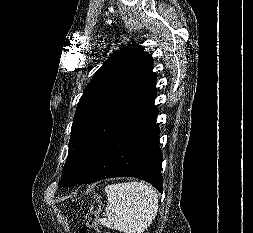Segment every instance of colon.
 <instances>
[{
    "instance_id": "1",
    "label": "colon",
    "mask_w": 253,
    "mask_h": 233,
    "mask_svg": "<svg viewBox=\"0 0 253 233\" xmlns=\"http://www.w3.org/2000/svg\"><path fill=\"white\" fill-rule=\"evenodd\" d=\"M100 210V202L92 201L90 211L86 215L84 225L81 227L79 233H100L97 227L98 214Z\"/></svg>"
}]
</instances>
